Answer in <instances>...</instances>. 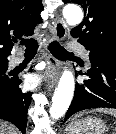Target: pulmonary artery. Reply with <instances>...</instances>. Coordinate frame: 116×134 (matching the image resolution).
<instances>
[{"mask_svg": "<svg viewBox=\"0 0 116 134\" xmlns=\"http://www.w3.org/2000/svg\"><path fill=\"white\" fill-rule=\"evenodd\" d=\"M68 47L70 50L78 52L86 61L90 59L89 50L84 48L81 44L77 42L68 43ZM24 61L22 56H13L9 61V68L13 69L19 66Z\"/></svg>", "mask_w": 116, "mask_h": 134, "instance_id": "e3ab8cb5", "label": "pulmonary artery"}]
</instances>
